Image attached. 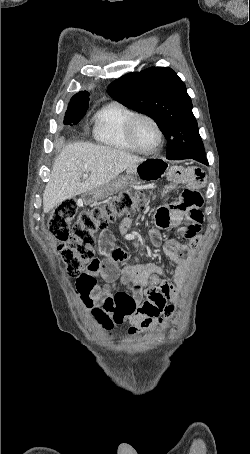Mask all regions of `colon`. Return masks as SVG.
Instances as JSON below:
<instances>
[{
	"label": "colon",
	"mask_w": 250,
	"mask_h": 454,
	"mask_svg": "<svg viewBox=\"0 0 250 454\" xmlns=\"http://www.w3.org/2000/svg\"><path fill=\"white\" fill-rule=\"evenodd\" d=\"M149 196L145 193L121 192L109 201L81 211L72 224L78 209L72 199H66L52 210L48 227L56 239L57 249L67 274L77 277L95 258L97 232L108 223L122 216H129L148 205ZM92 314L106 329H111L117 321L101 307H94Z\"/></svg>",
	"instance_id": "obj_1"
}]
</instances>
